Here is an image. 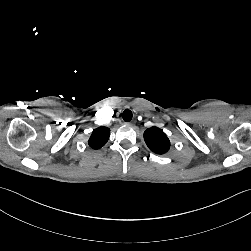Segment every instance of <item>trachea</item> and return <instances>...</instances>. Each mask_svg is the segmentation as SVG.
Wrapping results in <instances>:
<instances>
[{"label":"trachea","instance_id":"1","mask_svg":"<svg viewBox=\"0 0 251 251\" xmlns=\"http://www.w3.org/2000/svg\"><path fill=\"white\" fill-rule=\"evenodd\" d=\"M123 120L129 122L133 115L132 112L129 109H126L122 114Z\"/></svg>","mask_w":251,"mask_h":251}]
</instances>
